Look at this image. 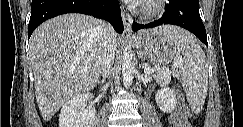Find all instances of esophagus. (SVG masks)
<instances>
[{
	"instance_id": "1",
	"label": "esophagus",
	"mask_w": 243,
	"mask_h": 127,
	"mask_svg": "<svg viewBox=\"0 0 243 127\" xmlns=\"http://www.w3.org/2000/svg\"><path fill=\"white\" fill-rule=\"evenodd\" d=\"M122 20L124 29L126 32L131 33L132 32V24H133V18L129 13L126 12L124 7H122Z\"/></svg>"
}]
</instances>
